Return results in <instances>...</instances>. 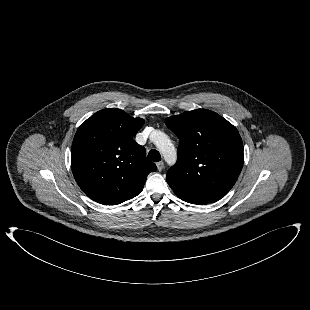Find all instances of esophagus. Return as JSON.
<instances>
[{
	"instance_id": "34e87169",
	"label": "esophagus",
	"mask_w": 310,
	"mask_h": 310,
	"mask_svg": "<svg viewBox=\"0 0 310 310\" xmlns=\"http://www.w3.org/2000/svg\"><path fill=\"white\" fill-rule=\"evenodd\" d=\"M158 171H162L164 168V162L160 161L156 164Z\"/></svg>"
}]
</instances>
